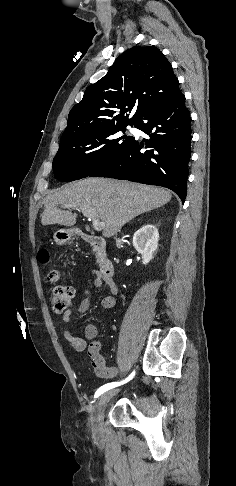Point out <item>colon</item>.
<instances>
[{
    "mask_svg": "<svg viewBox=\"0 0 236 486\" xmlns=\"http://www.w3.org/2000/svg\"><path fill=\"white\" fill-rule=\"evenodd\" d=\"M42 262L48 261V254L43 251L40 255ZM47 280L53 284L50 290L52 307L55 312L61 313L69 307L74 296L72 287L61 282V274L58 270L52 269L47 275Z\"/></svg>",
    "mask_w": 236,
    "mask_h": 486,
    "instance_id": "1",
    "label": "colon"
}]
</instances>
